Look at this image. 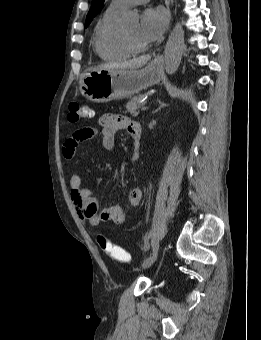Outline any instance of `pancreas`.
Instances as JSON below:
<instances>
[{"label":"pancreas","instance_id":"cf45deb5","mask_svg":"<svg viewBox=\"0 0 261 340\" xmlns=\"http://www.w3.org/2000/svg\"><path fill=\"white\" fill-rule=\"evenodd\" d=\"M142 96H135L131 98L126 104L127 112H129L132 116L136 117L139 114V108L144 105L141 103Z\"/></svg>","mask_w":261,"mask_h":340}]
</instances>
